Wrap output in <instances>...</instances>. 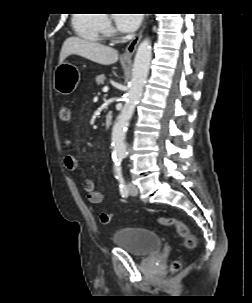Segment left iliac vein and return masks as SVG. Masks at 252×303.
Returning a JSON list of instances; mask_svg holds the SVG:
<instances>
[{"instance_id":"4c4485c4","label":"left iliac vein","mask_w":252,"mask_h":303,"mask_svg":"<svg viewBox=\"0 0 252 303\" xmlns=\"http://www.w3.org/2000/svg\"><path fill=\"white\" fill-rule=\"evenodd\" d=\"M128 192H129L130 195L135 196L138 193V189L133 183L130 182L128 184Z\"/></svg>"}]
</instances>
